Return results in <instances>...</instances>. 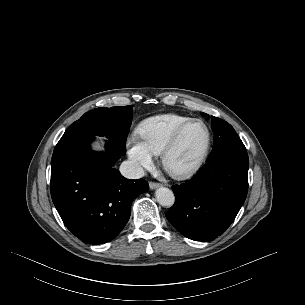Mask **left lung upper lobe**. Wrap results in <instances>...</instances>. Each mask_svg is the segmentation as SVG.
<instances>
[{
    "label": "left lung upper lobe",
    "mask_w": 305,
    "mask_h": 305,
    "mask_svg": "<svg viewBox=\"0 0 305 305\" xmlns=\"http://www.w3.org/2000/svg\"><path fill=\"white\" fill-rule=\"evenodd\" d=\"M201 114L207 120L209 119V115L206 113ZM211 122L214 132V148L209 160H213L228 152H246L243 142L229 123L214 116L211 117Z\"/></svg>",
    "instance_id": "left-lung-upper-lobe-1"
}]
</instances>
